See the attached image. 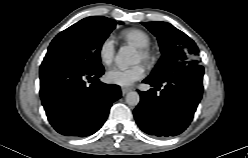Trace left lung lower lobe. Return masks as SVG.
Returning a JSON list of instances; mask_svg holds the SVG:
<instances>
[{"mask_svg":"<svg viewBox=\"0 0 248 158\" xmlns=\"http://www.w3.org/2000/svg\"><path fill=\"white\" fill-rule=\"evenodd\" d=\"M204 68L199 64L182 67L162 81L147 77L152 89L140 91L134 109L135 120L147 134L168 137L182 133L193 119L203 92ZM164 86L160 93L157 91Z\"/></svg>","mask_w":248,"mask_h":158,"instance_id":"left-lung-lower-lobe-1","label":"left lung lower lobe"}]
</instances>
